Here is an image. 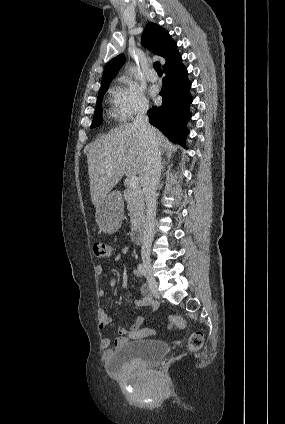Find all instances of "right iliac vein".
Segmentation results:
<instances>
[{"label": "right iliac vein", "mask_w": 285, "mask_h": 424, "mask_svg": "<svg viewBox=\"0 0 285 424\" xmlns=\"http://www.w3.org/2000/svg\"><path fill=\"white\" fill-rule=\"evenodd\" d=\"M143 262L149 286L153 290V292L158 293V283L152 274L150 259L144 258Z\"/></svg>", "instance_id": "obj_1"}]
</instances>
